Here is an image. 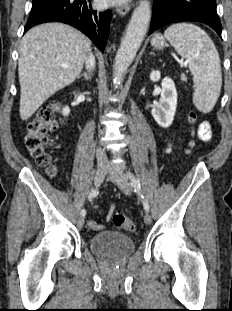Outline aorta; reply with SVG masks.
<instances>
[{"label":"aorta","mask_w":232,"mask_h":311,"mask_svg":"<svg viewBox=\"0 0 232 311\" xmlns=\"http://www.w3.org/2000/svg\"><path fill=\"white\" fill-rule=\"evenodd\" d=\"M151 19V8L148 0H142L134 9L125 35L117 51L113 65V83L120 85L128 67L134 60L146 35Z\"/></svg>","instance_id":"1"}]
</instances>
